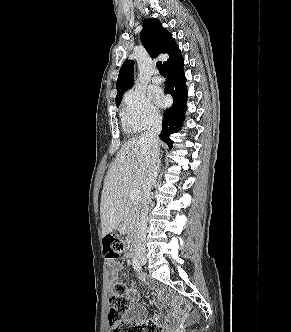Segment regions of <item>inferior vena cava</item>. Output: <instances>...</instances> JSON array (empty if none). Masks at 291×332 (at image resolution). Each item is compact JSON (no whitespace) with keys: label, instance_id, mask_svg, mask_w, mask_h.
Returning <instances> with one entry per match:
<instances>
[{"label":"inferior vena cava","instance_id":"602c4592","mask_svg":"<svg viewBox=\"0 0 291 332\" xmlns=\"http://www.w3.org/2000/svg\"><path fill=\"white\" fill-rule=\"evenodd\" d=\"M162 130V119L154 117L144 134L141 141L145 143L147 150V175L142 187V208L139 222L137 224L136 251L139 254L146 252V234L148 223V210L151 203V190L157 179L160 158H159V133Z\"/></svg>","mask_w":291,"mask_h":332}]
</instances>
